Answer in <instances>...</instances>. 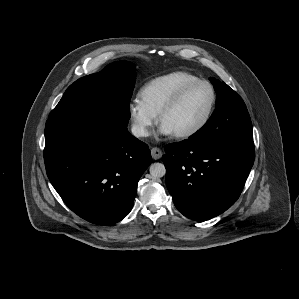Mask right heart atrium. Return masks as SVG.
<instances>
[{
    "label": "right heart atrium",
    "instance_id": "right-heart-atrium-1",
    "mask_svg": "<svg viewBox=\"0 0 299 299\" xmlns=\"http://www.w3.org/2000/svg\"><path fill=\"white\" fill-rule=\"evenodd\" d=\"M129 115L135 135L141 138L149 136L157 122V115L146 108L140 100L130 103Z\"/></svg>",
    "mask_w": 299,
    "mask_h": 299
}]
</instances>
